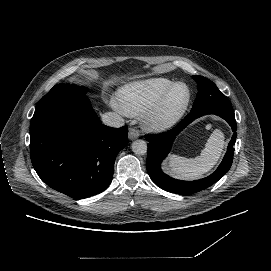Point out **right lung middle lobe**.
<instances>
[{
	"label": "right lung middle lobe",
	"mask_w": 271,
	"mask_h": 271,
	"mask_svg": "<svg viewBox=\"0 0 271 271\" xmlns=\"http://www.w3.org/2000/svg\"><path fill=\"white\" fill-rule=\"evenodd\" d=\"M87 91L84 87H79L73 84H58L55 85L36 105V109L40 106L53 103L63 99H74L86 97L84 94Z\"/></svg>",
	"instance_id": "dd1d6c3e"
}]
</instances>
